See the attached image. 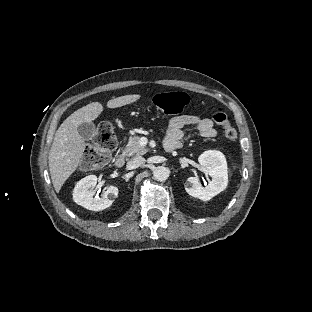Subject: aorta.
<instances>
[{"instance_id": "obj_1", "label": "aorta", "mask_w": 312, "mask_h": 312, "mask_svg": "<svg viewBox=\"0 0 312 312\" xmlns=\"http://www.w3.org/2000/svg\"><path fill=\"white\" fill-rule=\"evenodd\" d=\"M170 170L164 166L155 167L153 171L154 178L157 181H165L169 177Z\"/></svg>"}]
</instances>
